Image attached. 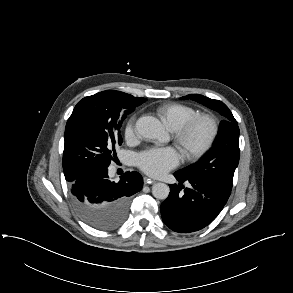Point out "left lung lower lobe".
Here are the masks:
<instances>
[{"instance_id": "0a47b994", "label": "left lung lower lobe", "mask_w": 293, "mask_h": 293, "mask_svg": "<svg viewBox=\"0 0 293 293\" xmlns=\"http://www.w3.org/2000/svg\"><path fill=\"white\" fill-rule=\"evenodd\" d=\"M174 176L179 184L170 185V194L161 204L163 222L179 233L201 230L223 209L231 189L211 180L185 176L178 172ZM185 181L191 184L189 188L182 185Z\"/></svg>"}]
</instances>
